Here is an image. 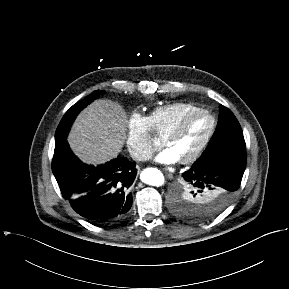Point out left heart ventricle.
Listing matches in <instances>:
<instances>
[{
    "mask_svg": "<svg viewBox=\"0 0 289 289\" xmlns=\"http://www.w3.org/2000/svg\"><path fill=\"white\" fill-rule=\"evenodd\" d=\"M211 120L206 115L193 117L187 124L183 133L171 140L167 147L171 149L179 159L186 157L192 152L206 135Z\"/></svg>",
    "mask_w": 289,
    "mask_h": 289,
    "instance_id": "obj_1",
    "label": "left heart ventricle"
}]
</instances>
